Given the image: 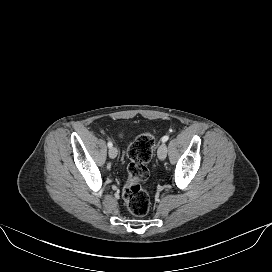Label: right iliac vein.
<instances>
[{
    "label": "right iliac vein",
    "instance_id": "right-iliac-vein-1",
    "mask_svg": "<svg viewBox=\"0 0 272 272\" xmlns=\"http://www.w3.org/2000/svg\"><path fill=\"white\" fill-rule=\"evenodd\" d=\"M108 153H109V157L113 159L117 156L118 151L115 147H111Z\"/></svg>",
    "mask_w": 272,
    "mask_h": 272
}]
</instances>
